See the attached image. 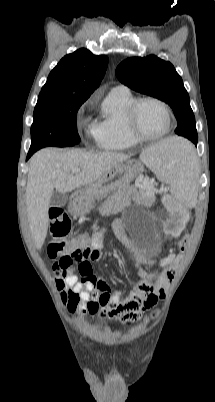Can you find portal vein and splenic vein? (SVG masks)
Returning <instances> with one entry per match:
<instances>
[{
  "instance_id": "18ae733b",
  "label": "portal vein and splenic vein",
  "mask_w": 215,
  "mask_h": 402,
  "mask_svg": "<svg viewBox=\"0 0 215 402\" xmlns=\"http://www.w3.org/2000/svg\"><path fill=\"white\" fill-rule=\"evenodd\" d=\"M72 173L74 174H79L80 173V169L76 168L72 170Z\"/></svg>"
}]
</instances>
